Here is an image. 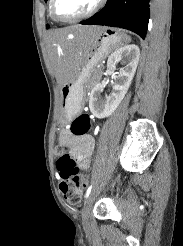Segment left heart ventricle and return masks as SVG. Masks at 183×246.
<instances>
[{"mask_svg":"<svg viewBox=\"0 0 183 246\" xmlns=\"http://www.w3.org/2000/svg\"><path fill=\"white\" fill-rule=\"evenodd\" d=\"M97 0H57L56 12L60 17H75L90 10Z\"/></svg>","mask_w":183,"mask_h":246,"instance_id":"b2bd125f","label":"left heart ventricle"}]
</instances>
